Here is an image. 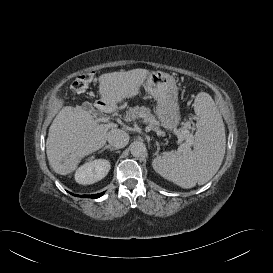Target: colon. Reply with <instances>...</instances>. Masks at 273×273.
<instances>
[{
    "mask_svg": "<svg viewBox=\"0 0 273 273\" xmlns=\"http://www.w3.org/2000/svg\"><path fill=\"white\" fill-rule=\"evenodd\" d=\"M94 78V73L89 72L86 73L85 75H82L80 77H78L73 83H72V90L76 93H82L84 92L89 84L92 82Z\"/></svg>",
    "mask_w": 273,
    "mask_h": 273,
    "instance_id": "5ec220e1",
    "label": "colon"
}]
</instances>
